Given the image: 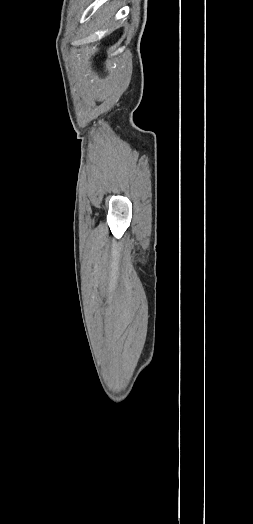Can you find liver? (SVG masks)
Wrapping results in <instances>:
<instances>
[{
	"mask_svg": "<svg viewBox=\"0 0 253 524\" xmlns=\"http://www.w3.org/2000/svg\"><path fill=\"white\" fill-rule=\"evenodd\" d=\"M110 18V14L108 15L107 19H105L102 24L106 23V21Z\"/></svg>",
	"mask_w": 253,
	"mask_h": 524,
	"instance_id": "1",
	"label": "liver"
}]
</instances>
